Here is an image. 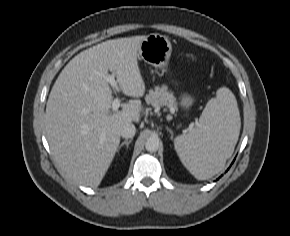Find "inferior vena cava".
<instances>
[{"instance_id": "1", "label": "inferior vena cava", "mask_w": 290, "mask_h": 236, "mask_svg": "<svg viewBox=\"0 0 290 236\" xmlns=\"http://www.w3.org/2000/svg\"><path fill=\"white\" fill-rule=\"evenodd\" d=\"M136 133V128L132 123H126L120 128V135L123 138H132Z\"/></svg>"}]
</instances>
